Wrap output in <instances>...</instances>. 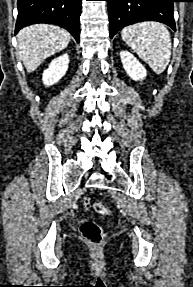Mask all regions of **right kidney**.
<instances>
[{"label":"right kidney","instance_id":"right-kidney-1","mask_svg":"<svg viewBox=\"0 0 193 287\" xmlns=\"http://www.w3.org/2000/svg\"><path fill=\"white\" fill-rule=\"evenodd\" d=\"M69 65L68 54L61 55L49 64L48 69L43 73V83L46 86L53 85L57 83L67 72Z\"/></svg>","mask_w":193,"mask_h":287}]
</instances>
